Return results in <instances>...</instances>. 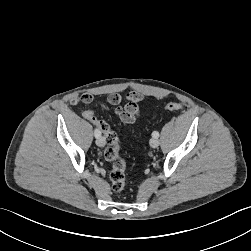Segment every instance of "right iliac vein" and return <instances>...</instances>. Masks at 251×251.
<instances>
[{
	"instance_id": "obj_1",
	"label": "right iliac vein",
	"mask_w": 251,
	"mask_h": 251,
	"mask_svg": "<svg viewBox=\"0 0 251 251\" xmlns=\"http://www.w3.org/2000/svg\"><path fill=\"white\" fill-rule=\"evenodd\" d=\"M96 144L99 146V147H103L105 145V140L102 136H99L97 139H96Z\"/></svg>"
}]
</instances>
